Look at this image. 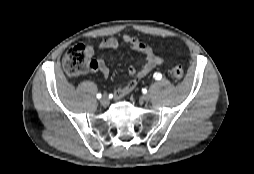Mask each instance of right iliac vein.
Listing matches in <instances>:
<instances>
[{
  "label": "right iliac vein",
  "mask_w": 254,
  "mask_h": 174,
  "mask_svg": "<svg viewBox=\"0 0 254 174\" xmlns=\"http://www.w3.org/2000/svg\"><path fill=\"white\" fill-rule=\"evenodd\" d=\"M100 102H101V104H102L103 106H107V105L109 104V99H108V97H107L106 95H104V96L101 98Z\"/></svg>",
  "instance_id": "63e3f726"
}]
</instances>
